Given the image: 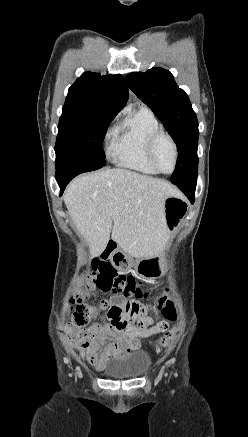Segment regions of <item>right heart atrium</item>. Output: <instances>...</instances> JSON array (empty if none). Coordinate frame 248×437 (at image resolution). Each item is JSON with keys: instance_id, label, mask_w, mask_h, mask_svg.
Returning a JSON list of instances; mask_svg holds the SVG:
<instances>
[{"instance_id": "1", "label": "right heart atrium", "mask_w": 248, "mask_h": 437, "mask_svg": "<svg viewBox=\"0 0 248 437\" xmlns=\"http://www.w3.org/2000/svg\"><path fill=\"white\" fill-rule=\"evenodd\" d=\"M115 128L113 126L109 127L105 133L104 140L108 141L112 137H114Z\"/></svg>"}]
</instances>
